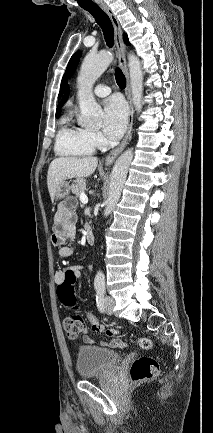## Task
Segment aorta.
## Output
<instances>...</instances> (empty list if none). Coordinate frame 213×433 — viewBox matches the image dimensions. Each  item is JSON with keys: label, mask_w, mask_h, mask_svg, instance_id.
Masks as SVG:
<instances>
[{"label": "aorta", "mask_w": 213, "mask_h": 433, "mask_svg": "<svg viewBox=\"0 0 213 433\" xmlns=\"http://www.w3.org/2000/svg\"><path fill=\"white\" fill-rule=\"evenodd\" d=\"M113 60L111 52L102 51L99 54H88L81 66L77 79L78 99L81 111L79 122L83 126L96 127L99 125L100 106L97 104L92 87L95 81L104 73ZM130 86L132 91L133 104L136 111L142 109L143 96V72L140 60L133 54L128 55ZM133 159V149H128L117 159L109 184V193L106 200L104 216H108L118 203L121 192L127 177L128 168ZM95 288L105 287V276L98 271L94 279Z\"/></svg>", "instance_id": "aorta-1"}]
</instances>
